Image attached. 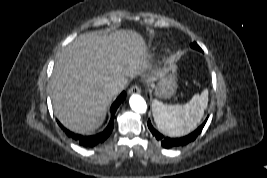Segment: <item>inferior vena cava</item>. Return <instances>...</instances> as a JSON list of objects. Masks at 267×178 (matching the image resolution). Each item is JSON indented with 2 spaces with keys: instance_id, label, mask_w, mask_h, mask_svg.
<instances>
[{
  "instance_id": "1",
  "label": "inferior vena cava",
  "mask_w": 267,
  "mask_h": 178,
  "mask_svg": "<svg viewBox=\"0 0 267 178\" xmlns=\"http://www.w3.org/2000/svg\"><path fill=\"white\" fill-rule=\"evenodd\" d=\"M123 88L124 86L121 83H113L108 86L107 90L110 94L117 95Z\"/></svg>"
}]
</instances>
